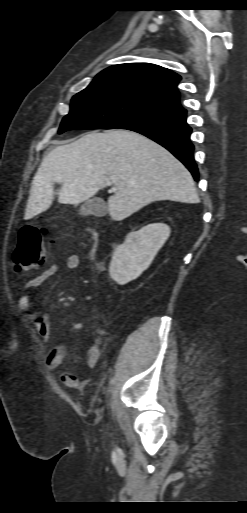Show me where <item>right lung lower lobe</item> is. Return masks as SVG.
I'll list each match as a JSON object with an SVG mask.
<instances>
[{"instance_id":"obj_1","label":"right lung lower lobe","mask_w":247,"mask_h":513,"mask_svg":"<svg viewBox=\"0 0 247 513\" xmlns=\"http://www.w3.org/2000/svg\"><path fill=\"white\" fill-rule=\"evenodd\" d=\"M185 109L168 111L142 118L120 127L138 132L159 143L178 158L198 181V169L194 161V146L190 141L191 127L186 122Z\"/></svg>"}]
</instances>
